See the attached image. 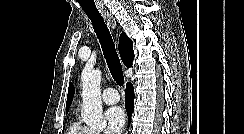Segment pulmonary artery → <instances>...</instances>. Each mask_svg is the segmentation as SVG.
<instances>
[{"mask_svg": "<svg viewBox=\"0 0 244 134\" xmlns=\"http://www.w3.org/2000/svg\"><path fill=\"white\" fill-rule=\"evenodd\" d=\"M120 97L114 88H106L102 93V100L106 104H115L119 101Z\"/></svg>", "mask_w": 244, "mask_h": 134, "instance_id": "e3ab8cb5", "label": "pulmonary artery"}]
</instances>
